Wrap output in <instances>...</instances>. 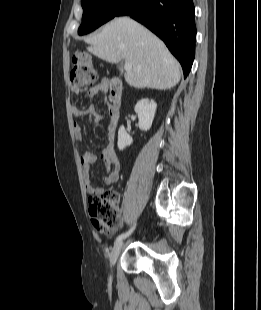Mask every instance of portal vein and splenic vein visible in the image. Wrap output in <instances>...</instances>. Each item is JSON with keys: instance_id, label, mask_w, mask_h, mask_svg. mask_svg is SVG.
Masks as SVG:
<instances>
[{"instance_id": "portal-vein-and-splenic-vein-1", "label": "portal vein and splenic vein", "mask_w": 261, "mask_h": 310, "mask_svg": "<svg viewBox=\"0 0 261 310\" xmlns=\"http://www.w3.org/2000/svg\"><path fill=\"white\" fill-rule=\"evenodd\" d=\"M131 68V65L129 63L124 64V70L127 71Z\"/></svg>"}]
</instances>
